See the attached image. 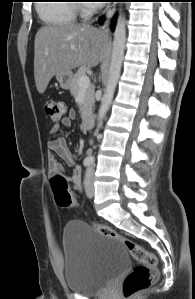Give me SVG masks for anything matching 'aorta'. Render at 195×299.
Listing matches in <instances>:
<instances>
[{"mask_svg": "<svg viewBox=\"0 0 195 299\" xmlns=\"http://www.w3.org/2000/svg\"><path fill=\"white\" fill-rule=\"evenodd\" d=\"M126 42V19L120 14L114 32L113 51L109 67V76L104 95L98 111L97 120L102 122L114 97V92L120 77ZM91 159H93L91 157Z\"/></svg>", "mask_w": 195, "mask_h": 299, "instance_id": "obj_1", "label": "aorta"}]
</instances>
